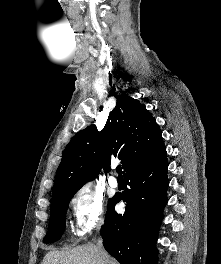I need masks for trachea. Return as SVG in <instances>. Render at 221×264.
<instances>
[{
    "mask_svg": "<svg viewBox=\"0 0 221 264\" xmlns=\"http://www.w3.org/2000/svg\"><path fill=\"white\" fill-rule=\"evenodd\" d=\"M116 172L119 174V176H121V174H122V168H121L120 165L116 167Z\"/></svg>",
    "mask_w": 221,
    "mask_h": 264,
    "instance_id": "1",
    "label": "trachea"
}]
</instances>
